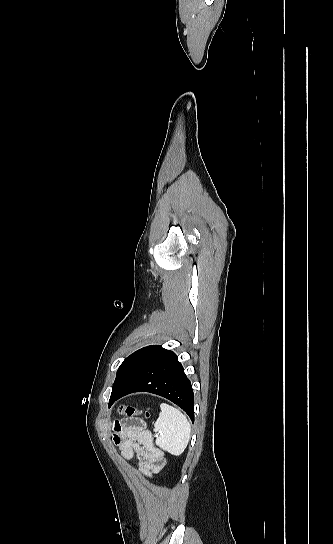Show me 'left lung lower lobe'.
<instances>
[{
    "label": "left lung lower lobe",
    "mask_w": 333,
    "mask_h": 544,
    "mask_svg": "<svg viewBox=\"0 0 333 544\" xmlns=\"http://www.w3.org/2000/svg\"><path fill=\"white\" fill-rule=\"evenodd\" d=\"M150 392L177 404L194 422V393L177 356L162 348L119 391L112 392L109 407L119 398L134 392Z\"/></svg>",
    "instance_id": "0a47b994"
}]
</instances>
